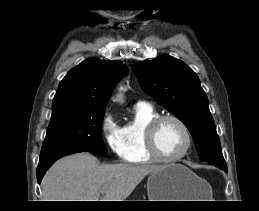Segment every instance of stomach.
Here are the masks:
<instances>
[{"label": "stomach", "instance_id": "0dacf381", "mask_svg": "<svg viewBox=\"0 0 259 211\" xmlns=\"http://www.w3.org/2000/svg\"><path fill=\"white\" fill-rule=\"evenodd\" d=\"M209 184L181 164H168L152 172L147 181L149 201H205Z\"/></svg>", "mask_w": 259, "mask_h": 211}]
</instances>
